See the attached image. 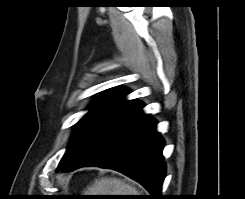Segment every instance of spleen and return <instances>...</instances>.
I'll list each match as a JSON object with an SVG mask.
<instances>
[{
	"label": "spleen",
	"instance_id": "spleen-1",
	"mask_svg": "<svg viewBox=\"0 0 245 199\" xmlns=\"http://www.w3.org/2000/svg\"><path fill=\"white\" fill-rule=\"evenodd\" d=\"M84 195H140L136 187L119 178L96 179Z\"/></svg>",
	"mask_w": 245,
	"mask_h": 199
}]
</instances>
